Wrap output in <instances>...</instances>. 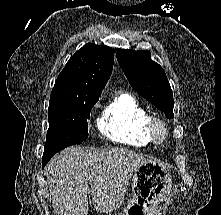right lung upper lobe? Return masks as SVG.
<instances>
[{
	"mask_svg": "<svg viewBox=\"0 0 221 215\" xmlns=\"http://www.w3.org/2000/svg\"><path fill=\"white\" fill-rule=\"evenodd\" d=\"M114 51L88 43L67 62L56 79L49 105L99 99L113 68Z\"/></svg>",
	"mask_w": 221,
	"mask_h": 215,
	"instance_id": "right-lung-upper-lobe-1",
	"label": "right lung upper lobe"
}]
</instances>
